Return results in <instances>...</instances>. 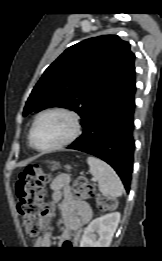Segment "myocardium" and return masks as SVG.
I'll use <instances>...</instances> for the list:
<instances>
[{"mask_svg": "<svg viewBox=\"0 0 162 261\" xmlns=\"http://www.w3.org/2000/svg\"><path fill=\"white\" fill-rule=\"evenodd\" d=\"M62 114L67 116L70 120H71V124H72V130L71 132L60 142L49 146V147H45V148H41L38 147L35 142H34V131L35 128L39 122V120L49 114ZM81 133V122H80V117L78 116V114L76 112H74L71 109L68 108H64V107H52V108H48L46 110H43L42 112H40L34 119V122L31 126L30 132H29V141H30V145L37 151L40 152H50V151H54V150H58L61 149L65 146H68L69 144H71L72 142H74L78 136Z\"/></svg>", "mask_w": 162, "mask_h": 261, "instance_id": "1", "label": "myocardium"}]
</instances>
